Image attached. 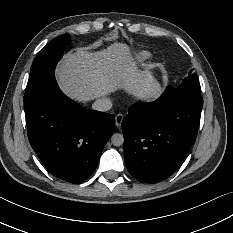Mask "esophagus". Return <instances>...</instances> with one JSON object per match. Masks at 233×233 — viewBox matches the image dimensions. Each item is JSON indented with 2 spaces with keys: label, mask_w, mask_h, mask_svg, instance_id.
<instances>
[{
  "label": "esophagus",
  "mask_w": 233,
  "mask_h": 233,
  "mask_svg": "<svg viewBox=\"0 0 233 233\" xmlns=\"http://www.w3.org/2000/svg\"><path fill=\"white\" fill-rule=\"evenodd\" d=\"M122 120H123V115L122 114H117L115 117V124L117 127H120L122 124Z\"/></svg>",
  "instance_id": "1"
}]
</instances>
